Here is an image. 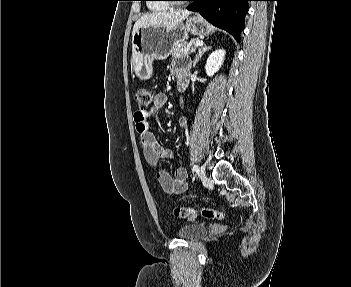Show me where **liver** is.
Returning a JSON list of instances; mask_svg holds the SVG:
<instances>
[{
    "mask_svg": "<svg viewBox=\"0 0 351 287\" xmlns=\"http://www.w3.org/2000/svg\"><path fill=\"white\" fill-rule=\"evenodd\" d=\"M190 11H162L143 15L134 25L132 34L134 35L139 28L149 26L173 27L182 23L188 16Z\"/></svg>",
    "mask_w": 351,
    "mask_h": 287,
    "instance_id": "liver-1",
    "label": "liver"
}]
</instances>
